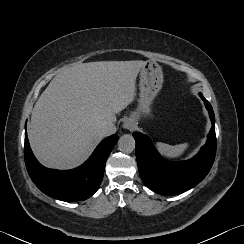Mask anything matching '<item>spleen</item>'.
<instances>
[{"mask_svg":"<svg viewBox=\"0 0 244 244\" xmlns=\"http://www.w3.org/2000/svg\"><path fill=\"white\" fill-rule=\"evenodd\" d=\"M188 147V143H181L174 146L162 142L156 143V148L159 153L168 159L179 158L181 155L184 154Z\"/></svg>","mask_w":244,"mask_h":244,"instance_id":"spleen-1","label":"spleen"}]
</instances>
